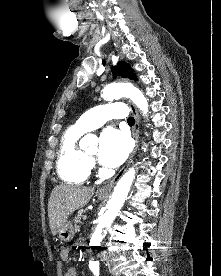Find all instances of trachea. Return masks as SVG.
I'll use <instances>...</instances> for the list:
<instances>
[{
  "label": "trachea",
  "mask_w": 221,
  "mask_h": 276,
  "mask_svg": "<svg viewBox=\"0 0 221 276\" xmlns=\"http://www.w3.org/2000/svg\"><path fill=\"white\" fill-rule=\"evenodd\" d=\"M128 124H134L135 123V120L133 117H129L128 120H127Z\"/></svg>",
  "instance_id": "3493384b"
}]
</instances>
